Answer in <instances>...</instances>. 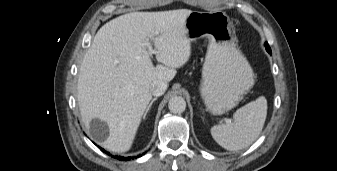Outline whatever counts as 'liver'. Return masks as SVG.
Segmentation results:
<instances>
[{"mask_svg":"<svg viewBox=\"0 0 337 171\" xmlns=\"http://www.w3.org/2000/svg\"><path fill=\"white\" fill-rule=\"evenodd\" d=\"M192 11L132 12L103 25L86 52L77 84L78 104L87 129L94 118L107 123L101 145L112 152L129 150L152 99L156 80L170 82L191 55L185 22ZM152 41L156 67L147 50Z\"/></svg>","mask_w":337,"mask_h":171,"instance_id":"obj_1","label":"liver"}]
</instances>
